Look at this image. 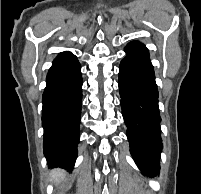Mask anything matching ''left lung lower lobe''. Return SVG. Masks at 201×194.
I'll return each instance as SVG.
<instances>
[{
    "label": "left lung lower lobe",
    "mask_w": 201,
    "mask_h": 194,
    "mask_svg": "<svg viewBox=\"0 0 201 194\" xmlns=\"http://www.w3.org/2000/svg\"><path fill=\"white\" fill-rule=\"evenodd\" d=\"M125 53L118 84L130 152L142 173L155 176L159 174L163 144L154 68L144 44L130 42Z\"/></svg>",
    "instance_id": "0a47b994"
}]
</instances>
